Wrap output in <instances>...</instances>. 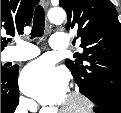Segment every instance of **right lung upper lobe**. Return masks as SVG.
<instances>
[{"mask_svg": "<svg viewBox=\"0 0 121 113\" xmlns=\"http://www.w3.org/2000/svg\"><path fill=\"white\" fill-rule=\"evenodd\" d=\"M38 0H1V33L23 34V28L30 24ZM7 41L1 37V51Z\"/></svg>", "mask_w": 121, "mask_h": 113, "instance_id": "1", "label": "right lung upper lobe"}]
</instances>
